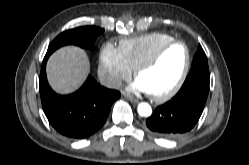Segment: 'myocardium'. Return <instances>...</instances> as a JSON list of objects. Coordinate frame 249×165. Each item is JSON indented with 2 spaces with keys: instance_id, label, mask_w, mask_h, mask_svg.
<instances>
[{
  "instance_id": "1",
  "label": "myocardium",
  "mask_w": 249,
  "mask_h": 165,
  "mask_svg": "<svg viewBox=\"0 0 249 165\" xmlns=\"http://www.w3.org/2000/svg\"><path fill=\"white\" fill-rule=\"evenodd\" d=\"M176 44L183 45L185 50H186L185 64H184L183 70H182L176 84L171 89H169L168 91L161 93V94L149 93L150 97L157 102H163V101L170 99L183 86V84L186 80V77L189 73V69H190V65H191V53H190V49H189L188 45L184 41L176 40V39H174L170 42H167V43L163 44L162 46H160L150 57H148L146 60L141 62L134 70V76L137 78L141 72H143L144 70L148 69L153 64H155L169 47L176 45Z\"/></svg>"
}]
</instances>
